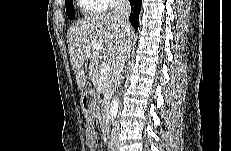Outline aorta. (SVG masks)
<instances>
[{
  "label": "aorta",
  "mask_w": 231,
  "mask_h": 151,
  "mask_svg": "<svg viewBox=\"0 0 231 151\" xmlns=\"http://www.w3.org/2000/svg\"><path fill=\"white\" fill-rule=\"evenodd\" d=\"M119 99L117 97L113 98L110 108V120L114 124V119L118 112Z\"/></svg>",
  "instance_id": "1"
}]
</instances>
